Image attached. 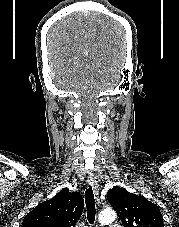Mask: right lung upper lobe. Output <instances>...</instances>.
<instances>
[{
  "mask_svg": "<svg viewBox=\"0 0 179 227\" xmlns=\"http://www.w3.org/2000/svg\"><path fill=\"white\" fill-rule=\"evenodd\" d=\"M83 208L84 201L78 192L62 189L29 212L21 227H75Z\"/></svg>",
  "mask_w": 179,
  "mask_h": 227,
  "instance_id": "1",
  "label": "right lung upper lobe"
}]
</instances>
